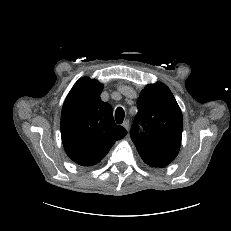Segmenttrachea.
<instances>
[{"mask_svg": "<svg viewBox=\"0 0 231 231\" xmlns=\"http://www.w3.org/2000/svg\"><path fill=\"white\" fill-rule=\"evenodd\" d=\"M124 116H125L124 110L121 107H118L115 112V120L117 124H121L123 122Z\"/></svg>", "mask_w": 231, "mask_h": 231, "instance_id": "trachea-1", "label": "trachea"}]
</instances>
